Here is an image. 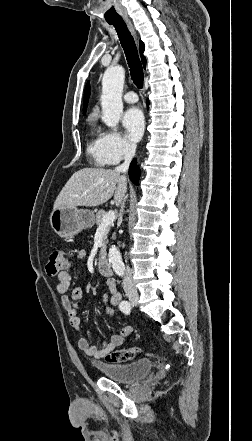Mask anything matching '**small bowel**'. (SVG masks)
<instances>
[{
  "mask_svg": "<svg viewBox=\"0 0 252 441\" xmlns=\"http://www.w3.org/2000/svg\"><path fill=\"white\" fill-rule=\"evenodd\" d=\"M86 252L79 250L75 256V261L85 258ZM71 264L57 275V291L62 294V306L66 315L68 316L70 325L80 330V318L77 310L79 302L83 297V290L79 287L72 289L68 294V290L71 283ZM107 291L102 297L104 305L117 306L121 302V294L116 288L115 280L109 278L106 280ZM133 328L131 326H124L120 331L114 334L108 342H102L100 346L91 345L85 338H80L78 341V347L84 351L88 356L95 359L105 358L107 354L123 346L125 341L131 336Z\"/></svg>",
  "mask_w": 252,
  "mask_h": 441,
  "instance_id": "c3829d8e",
  "label": "small bowel"
}]
</instances>
